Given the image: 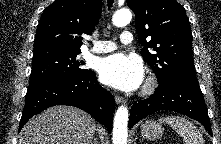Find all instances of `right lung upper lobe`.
<instances>
[{"label": "right lung upper lobe", "mask_w": 221, "mask_h": 144, "mask_svg": "<svg viewBox=\"0 0 221 144\" xmlns=\"http://www.w3.org/2000/svg\"><path fill=\"white\" fill-rule=\"evenodd\" d=\"M102 0H56L40 18L34 53L46 50L81 51L83 34L98 23Z\"/></svg>", "instance_id": "cb5924a9"}]
</instances>
